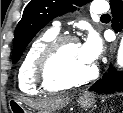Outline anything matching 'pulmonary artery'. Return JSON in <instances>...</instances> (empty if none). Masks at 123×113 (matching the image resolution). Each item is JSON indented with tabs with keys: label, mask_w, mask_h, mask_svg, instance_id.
<instances>
[{
	"label": "pulmonary artery",
	"mask_w": 123,
	"mask_h": 113,
	"mask_svg": "<svg viewBox=\"0 0 123 113\" xmlns=\"http://www.w3.org/2000/svg\"><path fill=\"white\" fill-rule=\"evenodd\" d=\"M107 9H108V3L106 1H96L93 2L92 4V11L95 14H103L107 11ZM53 25L55 26V30H59L60 28L59 21H55Z\"/></svg>",
	"instance_id": "1"
}]
</instances>
